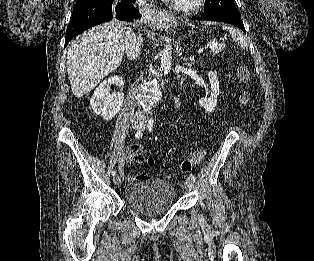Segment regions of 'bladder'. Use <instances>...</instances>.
I'll use <instances>...</instances> for the list:
<instances>
[{"mask_svg": "<svg viewBox=\"0 0 314 261\" xmlns=\"http://www.w3.org/2000/svg\"><path fill=\"white\" fill-rule=\"evenodd\" d=\"M173 184L162 181L130 182L125 188V202L134 211L147 217H155L169 210L176 200Z\"/></svg>", "mask_w": 314, "mask_h": 261, "instance_id": "31cf9c89", "label": "bladder"}]
</instances>
